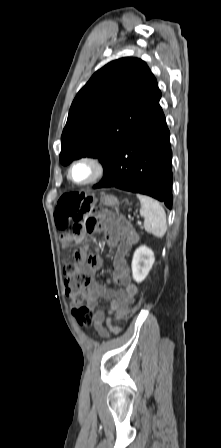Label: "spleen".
<instances>
[{
	"label": "spleen",
	"mask_w": 221,
	"mask_h": 448,
	"mask_svg": "<svg viewBox=\"0 0 221 448\" xmlns=\"http://www.w3.org/2000/svg\"><path fill=\"white\" fill-rule=\"evenodd\" d=\"M141 203L140 215L144 218V229L155 237L162 238L167 230L166 213L160 203L151 197L137 194Z\"/></svg>",
	"instance_id": "3e777b00"
}]
</instances>
